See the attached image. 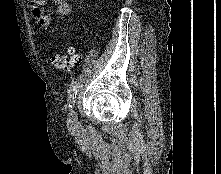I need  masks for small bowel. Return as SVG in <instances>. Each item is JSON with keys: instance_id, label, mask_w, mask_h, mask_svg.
I'll list each match as a JSON object with an SVG mask.
<instances>
[{"instance_id": "c3829d8e", "label": "small bowel", "mask_w": 221, "mask_h": 174, "mask_svg": "<svg viewBox=\"0 0 221 174\" xmlns=\"http://www.w3.org/2000/svg\"><path fill=\"white\" fill-rule=\"evenodd\" d=\"M32 2V15L37 24L42 28H48L52 23V14L45 13L44 6L47 0H29ZM56 4L55 15L66 16L71 10L67 0H53Z\"/></svg>"}]
</instances>
